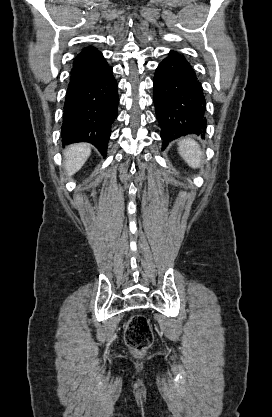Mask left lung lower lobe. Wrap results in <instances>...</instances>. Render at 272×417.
Returning <instances> with one entry per match:
<instances>
[{"label":"left lung lower lobe","instance_id":"0a47b994","mask_svg":"<svg viewBox=\"0 0 272 417\" xmlns=\"http://www.w3.org/2000/svg\"><path fill=\"white\" fill-rule=\"evenodd\" d=\"M153 82L163 146L182 135L205 133L207 121L203 88L183 56L170 51L169 56L158 65Z\"/></svg>","mask_w":272,"mask_h":417}]
</instances>
